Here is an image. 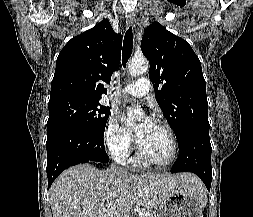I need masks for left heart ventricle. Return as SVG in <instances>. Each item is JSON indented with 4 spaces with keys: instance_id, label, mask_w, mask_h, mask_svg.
I'll return each mask as SVG.
<instances>
[{
    "instance_id": "left-heart-ventricle-1",
    "label": "left heart ventricle",
    "mask_w": 253,
    "mask_h": 217,
    "mask_svg": "<svg viewBox=\"0 0 253 217\" xmlns=\"http://www.w3.org/2000/svg\"><path fill=\"white\" fill-rule=\"evenodd\" d=\"M144 155L151 161L162 163L171 155V141L163 129L153 126L138 136Z\"/></svg>"
}]
</instances>
